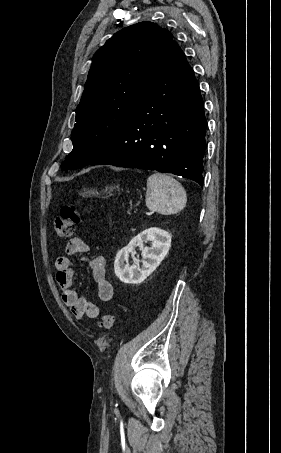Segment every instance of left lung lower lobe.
Wrapping results in <instances>:
<instances>
[{"mask_svg": "<svg viewBox=\"0 0 281 453\" xmlns=\"http://www.w3.org/2000/svg\"><path fill=\"white\" fill-rule=\"evenodd\" d=\"M206 127L198 83L174 41L167 61L135 111L89 165L157 170L203 186Z\"/></svg>", "mask_w": 281, "mask_h": 453, "instance_id": "1", "label": "left lung lower lobe"}]
</instances>
